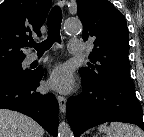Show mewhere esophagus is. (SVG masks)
I'll return each mask as SVG.
<instances>
[{
	"label": "esophagus",
	"instance_id": "esophagus-1",
	"mask_svg": "<svg viewBox=\"0 0 144 137\" xmlns=\"http://www.w3.org/2000/svg\"><path fill=\"white\" fill-rule=\"evenodd\" d=\"M57 1L61 7H63L65 5V0H57ZM57 100L59 103V108H60L61 113H65L66 112V104H67L66 97H64L62 95H58Z\"/></svg>",
	"mask_w": 144,
	"mask_h": 137
}]
</instances>
